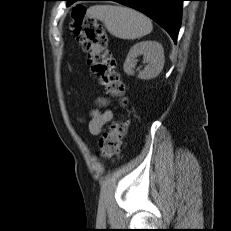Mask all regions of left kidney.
Listing matches in <instances>:
<instances>
[{
	"label": "left kidney",
	"mask_w": 231,
	"mask_h": 231,
	"mask_svg": "<svg viewBox=\"0 0 231 231\" xmlns=\"http://www.w3.org/2000/svg\"><path fill=\"white\" fill-rule=\"evenodd\" d=\"M143 55L148 63L144 70L139 72L140 79H151L159 75L164 66V49L156 41H142L135 44L129 51L123 65L127 75H134V63L137 56Z\"/></svg>",
	"instance_id": "5707ae66"
}]
</instances>
